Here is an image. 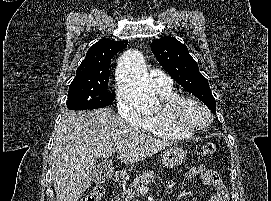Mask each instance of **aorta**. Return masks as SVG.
Segmentation results:
<instances>
[{
	"label": "aorta",
	"mask_w": 271,
	"mask_h": 201,
	"mask_svg": "<svg viewBox=\"0 0 271 201\" xmlns=\"http://www.w3.org/2000/svg\"><path fill=\"white\" fill-rule=\"evenodd\" d=\"M117 79L132 102L145 108H155L158 99L148 85L144 58L138 50H127L118 60Z\"/></svg>",
	"instance_id": "aorta-1"
}]
</instances>
